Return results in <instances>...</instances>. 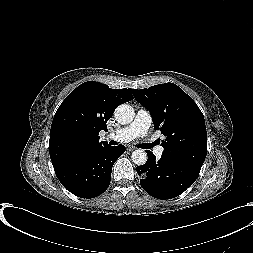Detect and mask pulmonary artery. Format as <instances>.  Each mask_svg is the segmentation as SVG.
Listing matches in <instances>:
<instances>
[{
	"instance_id": "pulmonary-artery-1",
	"label": "pulmonary artery",
	"mask_w": 253,
	"mask_h": 253,
	"mask_svg": "<svg viewBox=\"0 0 253 253\" xmlns=\"http://www.w3.org/2000/svg\"><path fill=\"white\" fill-rule=\"evenodd\" d=\"M152 124V118L145 109H139L134 120L126 127L107 135L108 139H114L118 142H129L136 137H144ZM153 145V144H152ZM153 153L160 158L164 148L162 146H153Z\"/></svg>"
}]
</instances>
